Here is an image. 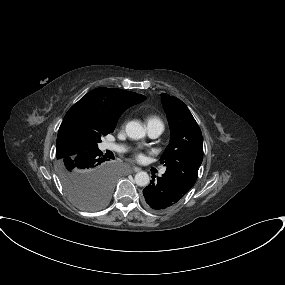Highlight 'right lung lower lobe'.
<instances>
[{
  "mask_svg": "<svg viewBox=\"0 0 285 285\" xmlns=\"http://www.w3.org/2000/svg\"><path fill=\"white\" fill-rule=\"evenodd\" d=\"M101 152L98 150H86L78 153L75 156V161L83 169L90 172H107L106 168L107 159L101 156Z\"/></svg>",
  "mask_w": 285,
  "mask_h": 285,
  "instance_id": "1",
  "label": "right lung lower lobe"
}]
</instances>
